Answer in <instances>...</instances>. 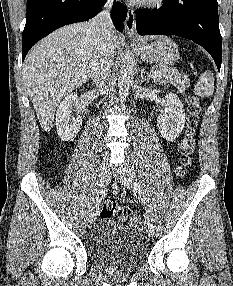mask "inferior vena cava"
Listing matches in <instances>:
<instances>
[{"mask_svg":"<svg viewBox=\"0 0 233 286\" xmlns=\"http://www.w3.org/2000/svg\"><path fill=\"white\" fill-rule=\"evenodd\" d=\"M112 2L109 0L103 11L92 21V27L97 31L95 39L96 50L92 63V80L94 85L100 90L103 89L113 65L114 45L111 42L112 23L110 20V8Z\"/></svg>","mask_w":233,"mask_h":286,"instance_id":"obj_1","label":"inferior vena cava"}]
</instances>
